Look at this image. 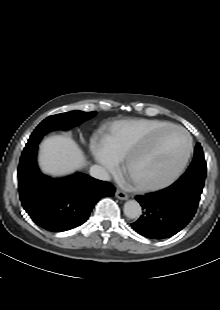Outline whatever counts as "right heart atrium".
I'll return each instance as SVG.
<instances>
[{
  "instance_id": "obj_1",
  "label": "right heart atrium",
  "mask_w": 220,
  "mask_h": 310,
  "mask_svg": "<svg viewBox=\"0 0 220 310\" xmlns=\"http://www.w3.org/2000/svg\"><path fill=\"white\" fill-rule=\"evenodd\" d=\"M95 159L99 162L109 173L115 174L118 170V162L113 160L103 149L101 144L94 150Z\"/></svg>"
}]
</instances>
